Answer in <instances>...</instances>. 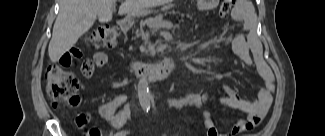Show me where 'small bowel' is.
Here are the masks:
<instances>
[{"mask_svg":"<svg viewBox=\"0 0 325 136\" xmlns=\"http://www.w3.org/2000/svg\"><path fill=\"white\" fill-rule=\"evenodd\" d=\"M220 29L222 27H215L210 32L215 33ZM224 44L233 45L242 61L250 63L249 51L251 45L245 35L237 32L231 33L224 39ZM82 48V44H69L67 53L60 54L59 62L62 64V68L69 69L68 72L71 75L75 72L72 68H76L77 64H83L82 73L84 77L91 78L95 68H102L106 65L108 56L104 52H96L93 57H84ZM258 72L266 84L264 87L259 88L257 96L253 100L242 98L238 91L232 87L222 86L220 88L222 95L219 97V102L221 105L246 113V118L238 120L228 133L220 134L211 114L204 111L207 97L201 88L196 89L191 94L171 100L169 106L172 108L192 106L202 110L204 127L208 136H230L249 131L265 116L272 102L273 78L261 62L258 64ZM77 99L78 101L72 106H78L79 98L77 97ZM126 100L127 96L125 94H117L109 101L101 104L96 109V114L110 122L114 128H121L126 124L133 111L132 104L121 108ZM89 117V113L79 114L76 117L77 125L81 128L85 127Z\"/></svg>","mask_w":325,"mask_h":136,"instance_id":"c3829d8e","label":"small bowel"}]
</instances>
